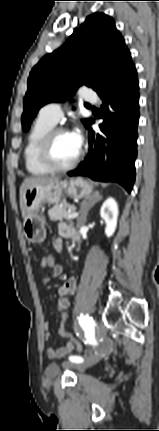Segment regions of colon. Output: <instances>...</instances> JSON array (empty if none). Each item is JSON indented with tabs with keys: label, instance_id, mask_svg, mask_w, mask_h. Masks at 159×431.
<instances>
[{
	"label": "colon",
	"instance_id": "obj_1",
	"mask_svg": "<svg viewBox=\"0 0 159 431\" xmlns=\"http://www.w3.org/2000/svg\"><path fill=\"white\" fill-rule=\"evenodd\" d=\"M45 259H46V269H48V271L50 273H53L56 270L55 265V258L53 256L52 253H46L45 254ZM69 318L68 313H66V310H62L61 313V318H60V323L58 325V337L60 338H66L68 340H70V342L77 348V350H75V355H80L82 352V346H83V342L78 340V338L76 337V334L73 333L72 330H66L65 329V324L67 323V320Z\"/></svg>",
	"mask_w": 159,
	"mask_h": 431
}]
</instances>
